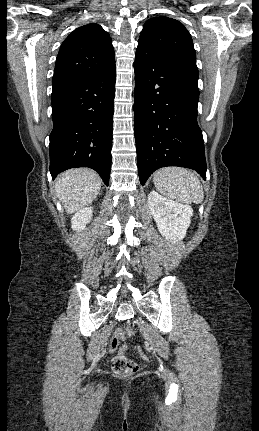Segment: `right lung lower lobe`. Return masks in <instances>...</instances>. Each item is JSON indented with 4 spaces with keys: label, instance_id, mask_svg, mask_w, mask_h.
I'll return each mask as SVG.
<instances>
[{
    "label": "right lung lower lobe",
    "instance_id": "98d812e1",
    "mask_svg": "<svg viewBox=\"0 0 259 431\" xmlns=\"http://www.w3.org/2000/svg\"><path fill=\"white\" fill-rule=\"evenodd\" d=\"M116 68L53 84L50 173L74 167L98 172L108 186Z\"/></svg>",
    "mask_w": 259,
    "mask_h": 431
}]
</instances>
